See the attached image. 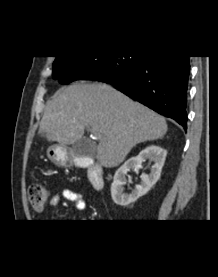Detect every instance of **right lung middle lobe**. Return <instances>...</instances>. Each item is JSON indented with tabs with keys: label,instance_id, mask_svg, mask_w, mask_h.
<instances>
[{
	"label": "right lung middle lobe",
	"instance_id": "dd1d6c3e",
	"mask_svg": "<svg viewBox=\"0 0 218 277\" xmlns=\"http://www.w3.org/2000/svg\"><path fill=\"white\" fill-rule=\"evenodd\" d=\"M145 56H59L53 63V77L60 83L87 79L92 76L104 80L125 79L144 59Z\"/></svg>",
	"mask_w": 218,
	"mask_h": 277
}]
</instances>
